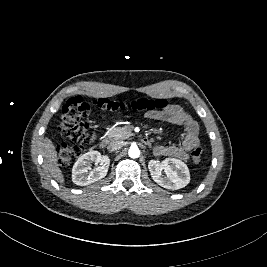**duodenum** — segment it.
Instances as JSON below:
<instances>
[{"mask_svg":"<svg viewBox=\"0 0 267 267\" xmlns=\"http://www.w3.org/2000/svg\"><path fill=\"white\" fill-rule=\"evenodd\" d=\"M109 138L107 137H103L100 141H99V147L100 148H105L108 144H109ZM143 142L145 144H148L149 143V139L148 138H144L143 139Z\"/></svg>","mask_w":267,"mask_h":267,"instance_id":"410a0bca","label":"duodenum"}]
</instances>
